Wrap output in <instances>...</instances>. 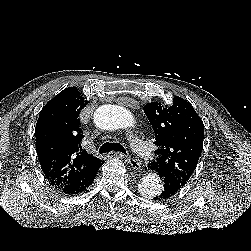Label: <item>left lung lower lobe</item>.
Instances as JSON below:
<instances>
[{
	"label": "left lung lower lobe",
	"mask_w": 251,
	"mask_h": 251,
	"mask_svg": "<svg viewBox=\"0 0 251 251\" xmlns=\"http://www.w3.org/2000/svg\"><path fill=\"white\" fill-rule=\"evenodd\" d=\"M148 169L157 172L164 182L159 194L153 198L155 201L166 200L176 194L180 188L183 187L173 176L169 175L168 173H162L159 169L153 167L151 164L148 166Z\"/></svg>",
	"instance_id": "left-lung-lower-lobe-1"
}]
</instances>
